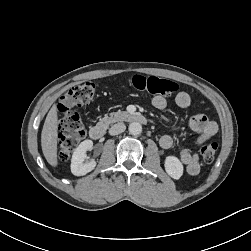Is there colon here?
I'll use <instances>...</instances> for the list:
<instances>
[{
	"mask_svg": "<svg viewBox=\"0 0 251 251\" xmlns=\"http://www.w3.org/2000/svg\"><path fill=\"white\" fill-rule=\"evenodd\" d=\"M128 84L140 92L151 95L170 96L177 91L178 85L169 79L155 76L134 75ZM95 85L92 82H83L69 88L61 97L58 104L59 120V151L58 157L66 162L74 149L84 137L85 130L76 108L87 105L95 95ZM218 150L216 142H209L201 148V155L205 162L214 160Z\"/></svg>",
	"mask_w": 251,
	"mask_h": 251,
	"instance_id": "5ec220e1",
	"label": "colon"
}]
</instances>
